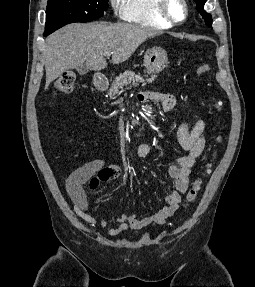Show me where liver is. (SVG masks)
Segmentation results:
<instances>
[{
	"mask_svg": "<svg viewBox=\"0 0 255 287\" xmlns=\"http://www.w3.org/2000/svg\"><path fill=\"white\" fill-rule=\"evenodd\" d=\"M157 30L138 24H69L48 36L43 50L46 70L45 90L63 72L87 66L100 72L107 68L104 58L112 54V64L126 62L140 44L157 36Z\"/></svg>",
	"mask_w": 255,
	"mask_h": 287,
	"instance_id": "1",
	"label": "liver"
}]
</instances>
